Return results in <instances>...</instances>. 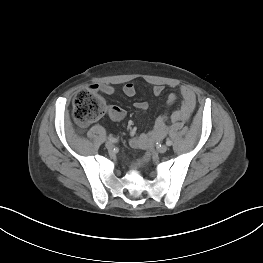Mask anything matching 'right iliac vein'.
I'll return each mask as SVG.
<instances>
[{"label":"right iliac vein","instance_id":"obj_1","mask_svg":"<svg viewBox=\"0 0 263 263\" xmlns=\"http://www.w3.org/2000/svg\"><path fill=\"white\" fill-rule=\"evenodd\" d=\"M105 146L108 150H112L114 148V144L110 141H107Z\"/></svg>","mask_w":263,"mask_h":263}]
</instances>
